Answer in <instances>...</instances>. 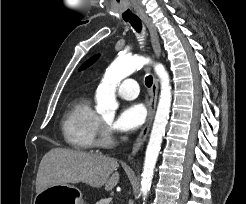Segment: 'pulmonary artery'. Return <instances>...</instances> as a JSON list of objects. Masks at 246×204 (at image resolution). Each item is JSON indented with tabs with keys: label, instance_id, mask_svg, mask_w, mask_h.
Masks as SVG:
<instances>
[{
	"label": "pulmonary artery",
	"instance_id": "pulmonary-artery-1",
	"mask_svg": "<svg viewBox=\"0 0 246 204\" xmlns=\"http://www.w3.org/2000/svg\"><path fill=\"white\" fill-rule=\"evenodd\" d=\"M117 92L120 97L127 100L135 99L139 94V86L136 80L128 78L122 81L118 88Z\"/></svg>",
	"mask_w": 246,
	"mask_h": 204
}]
</instances>
